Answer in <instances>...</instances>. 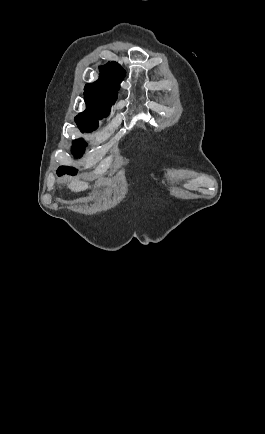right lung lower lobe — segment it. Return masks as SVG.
<instances>
[{
	"mask_svg": "<svg viewBox=\"0 0 265 434\" xmlns=\"http://www.w3.org/2000/svg\"><path fill=\"white\" fill-rule=\"evenodd\" d=\"M57 173H58L59 176H60V175H63V174H66V172L59 171V170H57Z\"/></svg>",
	"mask_w": 265,
	"mask_h": 434,
	"instance_id": "obj_1",
	"label": "right lung lower lobe"
}]
</instances>
